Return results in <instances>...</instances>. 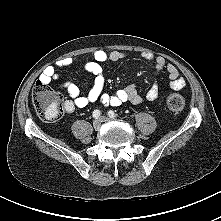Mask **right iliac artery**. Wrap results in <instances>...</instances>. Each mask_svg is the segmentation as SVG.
Segmentation results:
<instances>
[{
	"label": "right iliac artery",
	"mask_w": 221,
	"mask_h": 221,
	"mask_svg": "<svg viewBox=\"0 0 221 221\" xmlns=\"http://www.w3.org/2000/svg\"><path fill=\"white\" fill-rule=\"evenodd\" d=\"M92 115L94 118L98 119L101 115V112L99 110H94Z\"/></svg>",
	"instance_id": "right-iliac-artery-1"
}]
</instances>
